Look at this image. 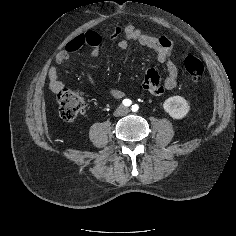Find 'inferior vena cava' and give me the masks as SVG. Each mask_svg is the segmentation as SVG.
I'll list each match as a JSON object with an SVG mask.
<instances>
[{
  "label": "inferior vena cava",
  "instance_id": "1",
  "mask_svg": "<svg viewBox=\"0 0 236 236\" xmlns=\"http://www.w3.org/2000/svg\"><path fill=\"white\" fill-rule=\"evenodd\" d=\"M127 112H128L127 108L124 107L122 113L119 114H126Z\"/></svg>",
  "mask_w": 236,
  "mask_h": 236
}]
</instances>
